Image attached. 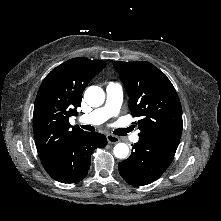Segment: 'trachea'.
<instances>
[{
  "label": "trachea",
  "instance_id": "trachea-1",
  "mask_svg": "<svg viewBox=\"0 0 221 221\" xmlns=\"http://www.w3.org/2000/svg\"><path fill=\"white\" fill-rule=\"evenodd\" d=\"M81 127L83 129L89 130V131H94L95 130V128L93 126H91V125H82ZM118 131H119V133L124 134V133L128 132L129 130L125 129V130H118ZM116 133H118V132L116 131Z\"/></svg>",
  "mask_w": 221,
  "mask_h": 221
}]
</instances>
